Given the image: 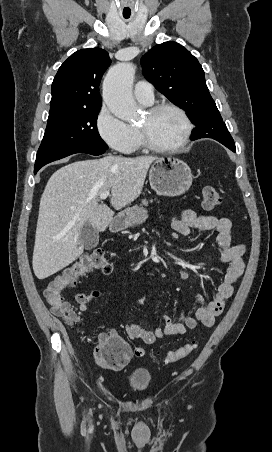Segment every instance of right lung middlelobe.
<instances>
[{
	"mask_svg": "<svg viewBox=\"0 0 272 452\" xmlns=\"http://www.w3.org/2000/svg\"><path fill=\"white\" fill-rule=\"evenodd\" d=\"M100 108L71 110L49 114L47 127L37 156L84 147L93 151L107 150L108 146L97 130Z\"/></svg>",
	"mask_w": 272,
	"mask_h": 452,
	"instance_id": "right-lung-middle-lobe-1",
	"label": "right lung middle lobe"
}]
</instances>
